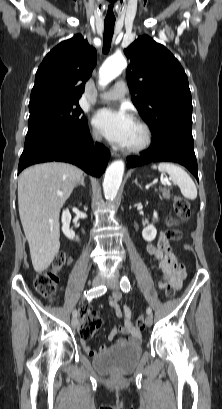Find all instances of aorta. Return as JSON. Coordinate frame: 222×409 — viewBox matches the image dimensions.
<instances>
[{
  "mask_svg": "<svg viewBox=\"0 0 222 409\" xmlns=\"http://www.w3.org/2000/svg\"><path fill=\"white\" fill-rule=\"evenodd\" d=\"M127 66L123 56H111L99 70L100 85L105 86L116 78ZM124 174V162L117 160L111 163L105 172L103 181L104 195L107 200L116 198Z\"/></svg>",
  "mask_w": 222,
  "mask_h": 409,
  "instance_id": "1",
  "label": "aorta"
}]
</instances>
